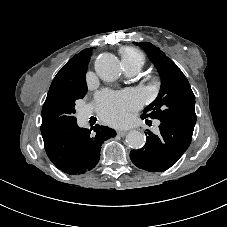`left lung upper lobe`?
<instances>
[{
    "instance_id": "1",
    "label": "left lung upper lobe",
    "mask_w": 227,
    "mask_h": 227,
    "mask_svg": "<svg viewBox=\"0 0 227 227\" xmlns=\"http://www.w3.org/2000/svg\"><path fill=\"white\" fill-rule=\"evenodd\" d=\"M134 43L147 52L161 77L160 92L157 98L145 108L142 116L159 120L175 118L195 124V96L182 71L151 43Z\"/></svg>"
}]
</instances>
